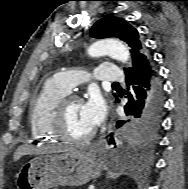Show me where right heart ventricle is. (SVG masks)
<instances>
[{
	"instance_id": "right-heart-ventricle-1",
	"label": "right heart ventricle",
	"mask_w": 188,
	"mask_h": 189,
	"mask_svg": "<svg viewBox=\"0 0 188 189\" xmlns=\"http://www.w3.org/2000/svg\"><path fill=\"white\" fill-rule=\"evenodd\" d=\"M69 91L59 84L55 78L47 80L29 111L30 133L38 142H56L58 139L50 129L51 114L58 101Z\"/></svg>"
}]
</instances>
